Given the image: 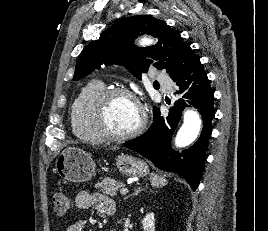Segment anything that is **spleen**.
<instances>
[{"instance_id":"1","label":"spleen","mask_w":268,"mask_h":231,"mask_svg":"<svg viewBox=\"0 0 268 231\" xmlns=\"http://www.w3.org/2000/svg\"><path fill=\"white\" fill-rule=\"evenodd\" d=\"M150 182H151L152 186H154V187L164 186L167 183L165 178L158 176L155 173H151Z\"/></svg>"}]
</instances>
